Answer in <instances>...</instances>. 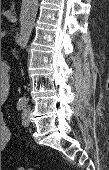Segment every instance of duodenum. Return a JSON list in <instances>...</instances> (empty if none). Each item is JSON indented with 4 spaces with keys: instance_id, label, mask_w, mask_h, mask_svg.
Wrapping results in <instances>:
<instances>
[{
    "instance_id": "1",
    "label": "duodenum",
    "mask_w": 109,
    "mask_h": 170,
    "mask_svg": "<svg viewBox=\"0 0 109 170\" xmlns=\"http://www.w3.org/2000/svg\"><path fill=\"white\" fill-rule=\"evenodd\" d=\"M9 63L7 61H3L1 63V90L6 91L9 87L10 78H9Z\"/></svg>"
}]
</instances>
